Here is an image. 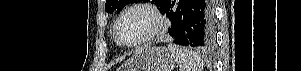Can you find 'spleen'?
Segmentation results:
<instances>
[{
    "instance_id": "obj_1",
    "label": "spleen",
    "mask_w": 301,
    "mask_h": 71,
    "mask_svg": "<svg viewBox=\"0 0 301 71\" xmlns=\"http://www.w3.org/2000/svg\"><path fill=\"white\" fill-rule=\"evenodd\" d=\"M168 50L179 64L180 71H202L204 64L196 52L173 44L168 45Z\"/></svg>"
}]
</instances>
